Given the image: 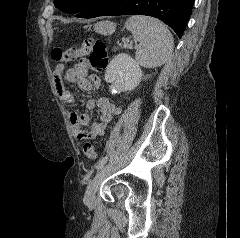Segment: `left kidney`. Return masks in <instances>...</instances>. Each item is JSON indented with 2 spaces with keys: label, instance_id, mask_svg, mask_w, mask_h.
I'll use <instances>...</instances> for the list:
<instances>
[{
  "label": "left kidney",
  "instance_id": "left-kidney-1",
  "mask_svg": "<svg viewBox=\"0 0 240 238\" xmlns=\"http://www.w3.org/2000/svg\"><path fill=\"white\" fill-rule=\"evenodd\" d=\"M142 70L139 64L128 54L115 56L107 66L105 81L116 92H130L139 84Z\"/></svg>",
  "mask_w": 240,
  "mask_h": 238
}]
</instances>
